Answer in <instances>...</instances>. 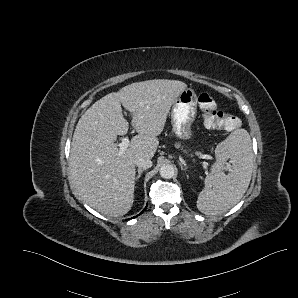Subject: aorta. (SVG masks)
I'll use <instances>...</instances> for the list:
<instances>
[{
    "mask_svg": "<svg viewBox=\"0 0 298 298\" xmlns=\"http://www.w3.org/2000/svg\"><path fill=\"white\" fill-rule=\"evenodd\" d=\"M159 174L165 179H171L175 174V168L171 164H162L159 170Z\"/></svg>",
    "mask_w": 298,
    "mask_h": 298,
    "instance_id": "obj_1",
    "label": "aorta"
}]
</instances>
